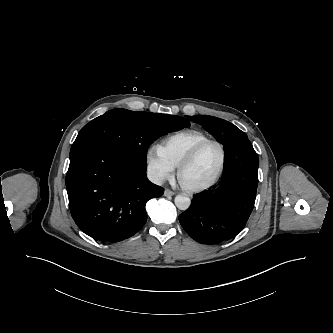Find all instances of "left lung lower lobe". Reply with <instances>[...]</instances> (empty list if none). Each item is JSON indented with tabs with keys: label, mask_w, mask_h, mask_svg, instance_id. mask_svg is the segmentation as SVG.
<instances>
[{
	"label": "left lung lower lobe",
	"mask_w": 333,
	"mask_h": 333,
	"mask_svg": "<svg viewBox=\"0 0 333 333\" xmlns=\"http://www.w3.org/2000/svg\"><path fill=\"white\" fill-rule=\"evenodd\" d=\"M259 159L248 138L225 150L219 185L195 195L179 215L187 234L202 244H217L235 237L253 210L258 185Z\"/></svg>",
	"instance_id": "1"
}]
</instances>
